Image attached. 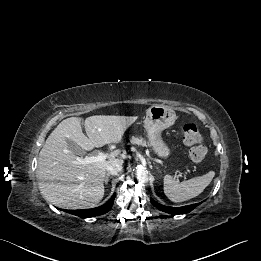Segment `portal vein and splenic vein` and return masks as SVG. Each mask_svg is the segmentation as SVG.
<instances>
[{
    "mask_svg": "<svg viewBox=\"0 0 261 261\" xmlns=\"http://www.w3.org/2000/svg\"><path fill=\"white\" fill-rule=\"evenodd\" d=\"M111 154H104V153H98L97 156H86L85 158L77 157L75 163L76 164H89L93 162H99L104 161L106 158H108Z\"/></svg>",
    "mask_w": 261,
    "mask_h": 261,
    "instance_id": "obj_1",
    "label": "portal vein and splenic vein"
}]
</instances>
